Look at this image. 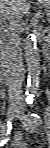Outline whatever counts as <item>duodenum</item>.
<instances>
[{"mask_svg": "<svg viewBox=\"0 0 50 148\" xmlns=\"http://www.w3.org/2000/svg\"><path fill=\"white\" fill-rule=\"evenodd\" d=\"M12 81V76L8 73L5 68L1 70V83L4 85L9 84Z\"/></svg>", "mask_w": 50, "mask_h": 148, "instance_id": "410a0bca", "label": "duodenum"}]
</instances>
